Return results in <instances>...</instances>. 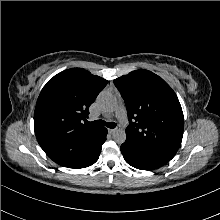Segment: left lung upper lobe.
<instances>
[{"instance_id": "5c2ea615", "label": "left lung upper lobe", "mask_w": 220, "mask_h": 220, "mask_svg": "<svg viewBox=\"0 0 220 220\" xmlns=\"http://www.w3.org/2000/svg\"><path fill=\"white\" fill-rule=\"evenodd\" d=\"M127 108L126 140L172 159L184 127L180 102L171 87L148 70H135L114 80Z\"/></svg>"}]
</instances>
